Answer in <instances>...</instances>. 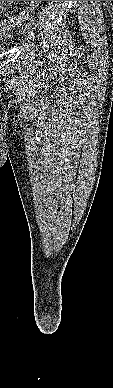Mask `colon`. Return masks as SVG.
I'll return each mask as SVG.
<instances>
[{
    "mask_svg": "<svg viewBox=\"0 0 113 388\" xmlns=\"http://www.w3.org/2000/svg\"><path fill=\"white\" fill-rule=\"evenodd\" d=\"M39 1H31V6L34 7L38 4ZM30 9H25L22 12L6 17L3 21L0 22V25L3 29H7L11 26H16L22 24L28 17ZM0 27V28H1Z\"/></svg>",
    "mask_w": 113,
    "mask_h": 388,
    "instance_id": "1",
    "label": "colon"
}]
</instances>
